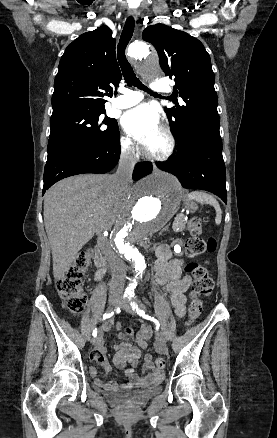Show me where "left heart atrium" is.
<instances>
[{
    "label": "left heart atrium",
    "instance_id": "obj_1",
    "mask_svg": "<svg viewBox=\"0 0 277 438\" xmlns=\"http://www.w3.org/2000/svg\"><path fill=\"white\" fill-rule=\"evenodd\" d=\"M122 124L144 150L160 129L158 116L149 105H140L127 112Z\"/></svg>",
    "mask_w": 277,
    "mask_h": 438
}]
</instances>
